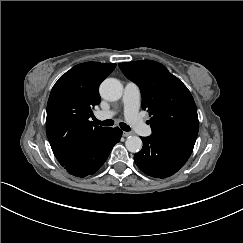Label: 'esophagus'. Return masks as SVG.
Wrapping results in <instances>:
<instances>
[{
  "instance_id": "34e87169",
  "label": "esophagus",
  "mask_w": 243,
  "mask_h": 243,
  "mask_svg": "<svg viewBox=\"0 0 243 243\" xmlns=\"http://www.w3.org/2000/svg\"><path fill=\"white\" fill-rule=\"evenodd\" d=\"M133 135L132 132H123V137H128V136H131Z\"/></svg>"
}]
</instances>
